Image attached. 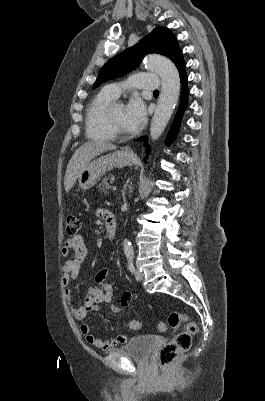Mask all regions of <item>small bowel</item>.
<instances>
[{"mask_svg": "<svg viewBox=\"0 0 265 401\" xmlns=\"http://www.w3.org/2000/svg\"><path fill=\"white\" fill-rule=\"evenodd\" d=\"M104 210L97 211V215L102 217ZM73 252V257L66 260L62 267V283L65 287V298L70 306L72 316L77 320H83L88 313L97 311L102 303H109L114 297L112 285L107 281L110 275V270L106 267L101 268L95 275L94 285L87 290L83 304L75 306L72 303V291L68 286L78 277L81 265L87 258L88 250L82 236L75 235L68 238L62 247V254L68 256ZM131 293L125 292L119 304L111 306V312L114 314L120 313L131 301ZM80 333L85 338V341L102 350L108 351L117 345L127 342L125 335H118L109 340H101L91 333L90 326L87 323H82L79 327Z\"/></svg>", "mask_w": 265, "mask_h": 401, "instance_id": "small-bowel-1", "label": "small bowel"}]
</instances>
